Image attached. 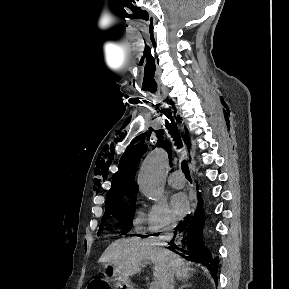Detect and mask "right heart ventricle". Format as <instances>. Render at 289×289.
I'll return each mask as SVG.
<instances>
[{
	"label": "right heart ventricle",
	"mask_w": 289,
	"mask_h": 289,
	"mask_svg": "<svg viewBox=\"0 0 289 289\" xmlns=\"http://www.w3.org/2000/svg\"><path fill=\"white\" fill-rule=\"evenodd\" d=\"M145 213L141 210L138 209L135 213V218H134V225L137 231L142 232L144 230V225H145Z\"/></svg>",
	"instance_id": "e07e8e85"
}]
</instances>
